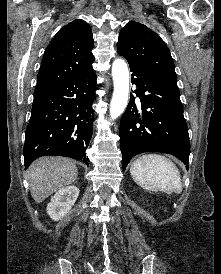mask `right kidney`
I'll return each mask as SVG.
<instances>
[{"label": "right kidney", "instance_id": "1", "mask_svg": "<svg viewBox=\"0 0 221 274\" xmlns=\"http://www.w3.org/2000/svg\"><path fill=\"white\" fill-rule=\"evenodd\" d=\"M79 195L75 186H67L58 190L47 205L48 215L55 221L63 218L72 208Z\"/></svg>", "mask_w": 221, "mask_h": 274}]
</instances>
